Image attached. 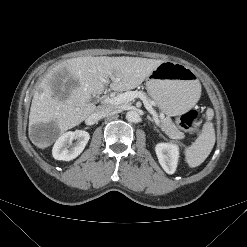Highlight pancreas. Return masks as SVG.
<instances>
[{
	"mask_svg": "<svg viewBox=\"0 0 247 247\" xmlns=\"http://www.w3.org/2000/svg\"><path fill=\"white\" fill-rule=\"evenodd\" d=\"M141 92V91H136ZM147 99V101L151 104L152 100L143 92H141ZM161 128L162 130L172 139H183L184 133L181 132L177 126L172 122L170 117H161L160 118Z\"/></svg>",
	"mask_w": 247,
	"mask_h": 247,
	"instance_id": "pancreas-1",
	"label": "pancreas"
}]
</instances>
